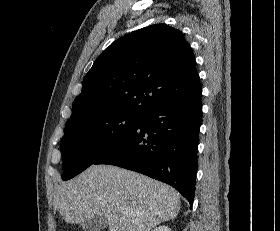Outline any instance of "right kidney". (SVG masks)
<instances>
[{
    "mask_svg": "<svg viewBox=\"0 0 280 231\" xmlns=\"http://www.w3.org/2000/svg\"><path fill=\"white\" fill-rule=\"evenodd\" d=\"M152 231H171V229L168 225H158V227H154Z\"/></svg>",
    "mask_w": 280,
    "mask_h": 231,
    "instance_id": "1",
    "label": "right kidney"
}]
</instances>
